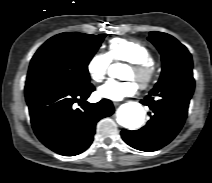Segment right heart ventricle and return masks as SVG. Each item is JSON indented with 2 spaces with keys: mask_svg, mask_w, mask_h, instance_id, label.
<instances>
[{
  "mask_svg": "<svg viewBox=\"0 0 212 183\" xmlns=\"http://www.w3.org/2000/svg\"><path fill=\"white\" fill-rule=\"evenodd\" d=\"M108 56L115 62H150L154 57L150 49L137 40L114 38L109 42Z\"/></svg>",
  "mask_w": 212,
  "mask_h": 183,
  "instance_id": "1",
  "label": "right heart ventricle"
}]
</instances>
